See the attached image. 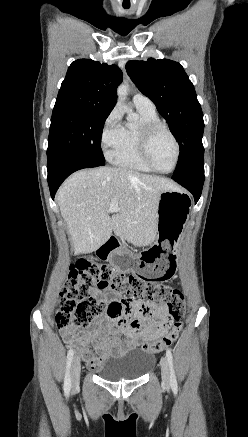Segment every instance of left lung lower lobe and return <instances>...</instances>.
I'll use <instances>...</instances> for the list:
<instances>
[{
  "mask_svg": "<svg viewBox=\"0 0 248 437\" xmlns=\"http://www.w3.org/2000/svg\"><path fill=\"white\" fill-rule=\"evenodd\" d=\"M172 179L189 190L195 198V203H197L201 196L204 183V165H202L200 169L184 175L172 176Z\"/></svg>",
  "mask_w": 248,
  "mask_h": 437,
  "instance_id": "obj_1",
  "label": "left lung lower lobe"
}]
</instances>
